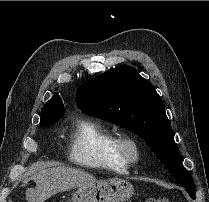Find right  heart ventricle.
I'll list each match as a JSON object with an SVG mask.
<instances>
[{
	"label": "right heart ventricle",
	"instance_id": "right-heart-ventricle-1",
	"mask_svg": "<svg viewBox=\"0 0 209 202\" xmlns=\"http://www.w3.org/2000/svg\"><path fill=\"white\" fill-rule=\"evenodd\" d=\"M117 136L103 122L82 119L68 134L69 158L77 164L127 173L132 163L115 154L113 146Z\"/></svg>",
	"mask_w": 209,
	"mask_h": 202
}]
</instances>
